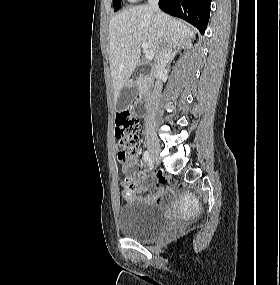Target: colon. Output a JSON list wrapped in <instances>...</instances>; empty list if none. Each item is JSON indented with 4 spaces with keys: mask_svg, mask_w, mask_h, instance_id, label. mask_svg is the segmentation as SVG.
<instances>
[{
    "mask_svg": "<svg viewBox=\"0 0 280 285\" xmlns=\"http://www.w3.org/2000/svg\"><path fill=\"white\" fill-rule=\"evenodd\" d=\"M140 125L129 109L121 110L116 115L115 136L117 139L118 156L124 161L129 154H133L139 147ZM159 183L165 184L169 177L162 172L157 173ZM130 185V184H128Z\"/></svg>",
    "mask_w": 280,
    "mask_h": 285,
    "instance_id": "1",
    "label": "colon"
}]
</instances>
